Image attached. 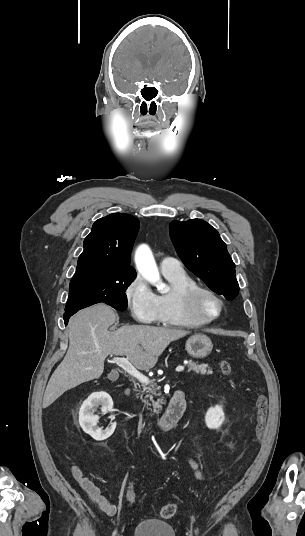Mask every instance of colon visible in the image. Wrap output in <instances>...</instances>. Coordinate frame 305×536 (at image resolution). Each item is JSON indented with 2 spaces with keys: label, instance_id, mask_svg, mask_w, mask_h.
Wrapping results in <instances>:
<instances>
[{
  "label": "colon",
  "instance_id": "colon-1",
  "mask_svg": "<svg viewBox=\"0 0 305 536\" xmlns=\"http://www.w3.org/2000/svg\"><path fill=\"white\" fill-rule=\"evenodd\" d=\"M219 369L221 373L225 376L232 374V366L229 360L223 359L219 362ZM268 410V399L265 394H259L256 397V426H255V435L257 440H260L264 434L266 426ZM125 498L127 502L131 505H135L137 502V495L133 487L132 482H129L125 490ZM176 511L175 503H167L157 510V515L162 519L171 518Z\"/></svg>",
  "mask_w": 305,
  "mask_h": 536
}]
</instances>
